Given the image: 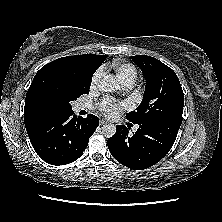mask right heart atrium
I'll use <instances>...</instances> for the list:
<instances>
[{"label": "right heart atrium", "instance_id": "1", "mask_svg": "<svg viewBox=\"0 0 222 222\" xmlns=\"http://www.w3.org/2000/svg\"><path fill=\"white\" fill-rule=\"evenodd\" d=\"M102 75H103V73H102L101 70H98L94 73V75L92 77V80H91V86L92 87H96L99 84V82L102 78Z\"/></svg>", "mask_w": 222, "mask_h": 222}]
</instances>
